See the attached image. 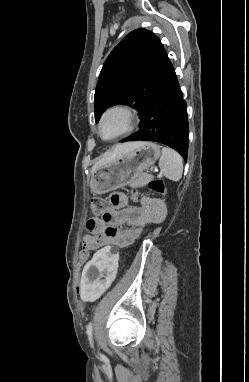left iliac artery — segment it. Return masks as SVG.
Here are the masks:
<instances>
[{
  "label": "left iliac artery",
  "instance_id": "left-iliac-artery-1",
  "mask_svg": "<svg viewBox=\"0 0 249 382\" xmlns=\"http://www.w3.org/2000/svg\"><path fill=\"white\" fill-rule=\"evenodd\" d=\"M92 332H93V326H92V323L90 322L88 324V326H87V335H88L90 344L93 346V335H92Z\"/></svg>",
  "mask_w": 249,
  "mask_h": 382
}]
</instances>
